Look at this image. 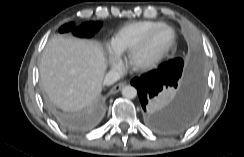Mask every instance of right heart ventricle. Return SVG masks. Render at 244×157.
<instances>
[{
    "instance_id": "right-heart-ventricle-1",
    "label": "right heart ventricle",
    "mask_w": 244,
    "mask_h": 157,
    "mask_svg": "<svg viewBox=\"0 0 244 157\" xmlns=\"http://www.w3.org/2000/svg\"><path fill=\"white\" fill-rule=\"evenodd\" d=\"M163 24L159 21H138L119 28L110 42L111 50L117 55L129 53L155 27Z\"/></svg>"
}]
</instances>
